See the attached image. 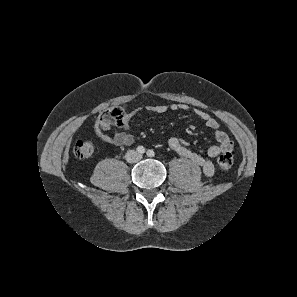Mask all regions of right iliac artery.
<instances>
[{"label": "right iliac artery", "instance_id": "obj_1", "mask_svg": "<svg viewBox=\"0 0 297 297\" xmlns=\"http://www.w3.org/2000/svg\"><path fill=\"white\" fill-rule=\"evenodd\" d=\"M137 152H138L139 154H143V153H145V148H144L143 146H138V147H137Z\"/></svg>", "mask_w": 297, "mask_h": 297}]
</instances>
